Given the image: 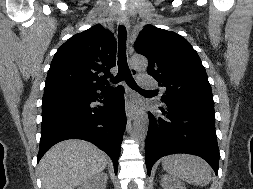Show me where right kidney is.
<instances>
[{
  "mask_svg": "<svg viewBox=\"0 0 253 189\" xmlns=\"http://www.w3.org/2000/svg\"><path fill=\"white\" fill-rule=\"evenodd\" d=\"M107 178L106 173L97 174L93 178L81 184L78 189H106Z\"/></svg>",
  "mask_w": 253,
  "mask_h": 189,
  "instance_id": "obj_1",
  "label": "right kidney"
}]
</instances>
